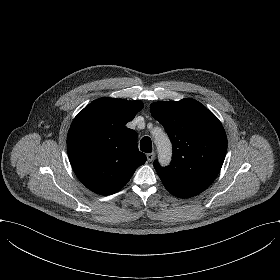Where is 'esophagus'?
I'll list each match as a JSON object with an SVG mask.
<instances>
[{"instance_id": "obj_1", "label": "esophagus", "mask_w": 280, "mask_h": 280, "mask_svg": "<svg viewBox=\"0 0 280 280\" xmlns=\"http://www.w3.org/2000/svg\"><path fill=\"white\" fill-rule=\"evenodd\" d=\"M154 157H155L154 152L147 154V159H148L149 162H151L154 159Z\"/></svg>"}]
</instances>
